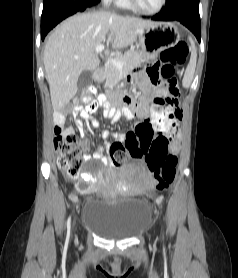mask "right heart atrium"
I'll return each mask as SVG.
<instances>
[{"instance_id": "obj_1", "label": "right heart atrium", "mask_w": 238, "mask_h": 278, "mask_svg": "<svg viewBox=\"0 0 238 278\" xmlns=\"http://www.w3.org/2000/svg\"><path fill=\"white\" fill-rule=\"evenodd\" d=\"M111 1H113V2H117V3H119V2H120V0H111Z\"/></svg>"}]
</instances>
